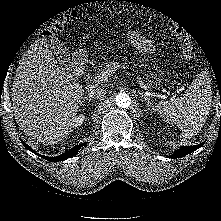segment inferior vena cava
<instances>
[{
    "mask_svg": "<svg viewBox=\"0 0 221 221\" xmlns=\"http://www.w3.org/2000/svg\"><path fill=\"white\" fill-rule=\"evenodd\" d=\"M105 94L106 93L104 92V90L100 88L92 87L88 90V96L93 99H101L105 96Z\"/></svg>",
    "mask_w": 221,
    "mask_h": 221,
    "instance_id": "inferior-vena-cava-1",
    "label": "inferior vena cava"
}]
</instances>
